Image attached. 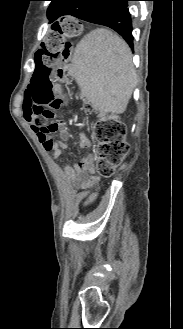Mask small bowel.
<instances>
[{
	"label": "small bowel",
	"mask_w": 183,
	"mask_h": 329,
	"mask_svg": "<svg viewBox=\"0 0 183 329\" xmlns=\"http://www.w3.org/2000/svg\"><path fill=\"white\" fill-rule=\"evenodd\" d=\"M23 117L31 126L37 139L43 145L44 149L52 152L54 159L60 157L64 150H66L68 147L67 142L64 139V137L66 136V130L62 126H60V132L63 139L55 142L50 139V134H44L41 132V126L43 122L42 118H39L33 114H23ZM48 140L52 141V145L49 148L45 145L46 141ZM89 145L90 141L87 138L82 139V141L80 142V147L82 149L87 148ZM64 172L68 177L72 178L75 181V183L80 189L85 191V204H90L96 199L97 193L91 192V190L98 188V177L96 175L94 167L93 155H87L80 158L73 166L65 167Z\"/></svg>",
	"instance_id": "c3829d8e"
}]
</instances>
